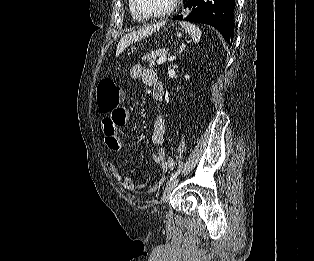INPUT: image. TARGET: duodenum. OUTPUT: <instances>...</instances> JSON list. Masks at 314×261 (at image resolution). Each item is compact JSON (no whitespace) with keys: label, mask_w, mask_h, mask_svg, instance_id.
<instances>
[{"label":"duodenum","mask_w":314,"mask_h":261,"mask_svg":"<svg viewBox=\"0 0 314 261\" xmlns=\"http://www.w3.org/2000/svg\"><path fill=\"white\" fill-rule=\"evenodd\" d=\"M156 97L157 99L161 100L163 98V93L162 92L157 93Z\"/></svg>","instance_id":"1"}]
</instances>
